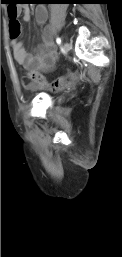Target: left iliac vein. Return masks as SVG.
<instances>
[{
    "mask_svg": "<svg viewBox=\"0 0 122 257\" xmlns=\"http://www.w3.org/2000/svg\"><path fill=\"white\" fill-rule=\"evenodd\" d=\"M70 49H71V45L68 42H66L63 47L64 52L68 53Z\"/></svg>",
    "mask_w": 122,
    "mask_h": 257,
    "instance_id": "4c4485c4",
    "label": "left iliac vein"
}]
</instances>
